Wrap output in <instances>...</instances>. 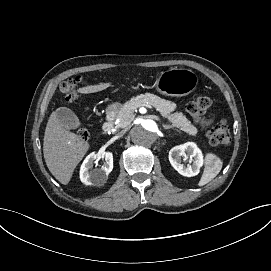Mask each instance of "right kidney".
Returning a JSON list of instances; mask_svg holds the SVG:
<instances>
[{"label":"right kidney","mask_w":271,"mask_h":271,"mask_svg":"<svg viewBox=\"0 0 271 271\" xmlns=\"http://www.w3.org/2000/svg\"><path fill=\"white\" fill-rule=\"evenodd\" d=\"M97 158L95 152L90 153L83 161L80 168V180L86 185L103 186L109 173L113 169V155L110 152L105 153V164L101 168H93V161Z\"/></svg>","instance_id":"right-kidney-1"}]
</instances>
